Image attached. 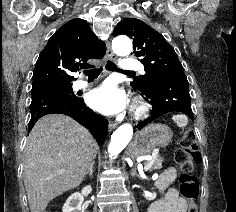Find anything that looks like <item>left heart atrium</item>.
I'll return each instance as SVG.
<instances>
[{"label":"left heart atrium","instance_id":"obj_1","mask_svg":"<svg viewBox=\"0 0 236 212\" xmlns=\"http://www.w3.org/2000/svg\"><path fill=\"white\" fill-rule=\"evenodd\" d=\"M88 102L93 109L102 114L115 115L125 109L127 97L115 83L107 81L90 93Z\"/></svg>","mask_w":236,"mask_h":212}]
</instances>
